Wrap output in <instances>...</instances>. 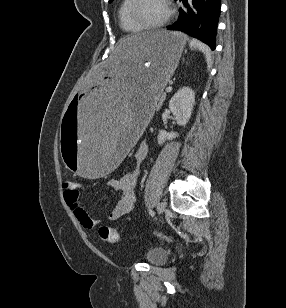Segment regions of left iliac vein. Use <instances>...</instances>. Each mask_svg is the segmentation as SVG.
<instances>
[{"label": "left iliac vein", "mask_w": 286, "mask_h": 308, "mask_svg": "<svg viewBox=\"0 0 286 308\" xmlns=\"http://www.w3.org/2000/svg\"><path fill=\"white\" fill-rule=\"evenodd\" d=\"M165 207H166V205H165L164 202H159L157 204V211H158V213L162 214L165 211Z\"/></svg>", "instance_id": "obj_1"}]
</instances>
